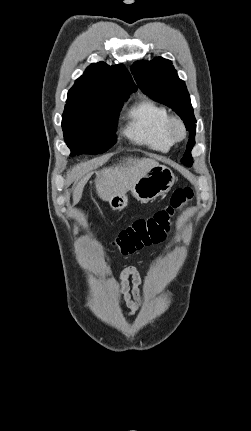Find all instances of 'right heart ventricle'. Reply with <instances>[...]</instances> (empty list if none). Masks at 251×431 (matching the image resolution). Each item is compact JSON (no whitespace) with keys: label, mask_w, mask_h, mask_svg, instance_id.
Instances as JSON below:
<instances>
[{"label":"right heart ventricle","mask_w":251,"mask_h":431,"mask_svg":"<svg viewBox=\"0 0 251 431\" xmlns=\"http://www.w3.org/2000/svg\"><path fill=\"white\" fill-rule=\"evenodd\" d=\"M127 118L124 134L135 143L159 152H168L173 146L167 133L169 113L165 107L143 98L128 110Z\"/></svg>","instance_id":"right-heart-ventricle-1"}]
</instances>
